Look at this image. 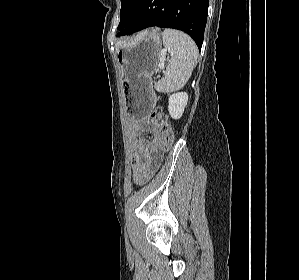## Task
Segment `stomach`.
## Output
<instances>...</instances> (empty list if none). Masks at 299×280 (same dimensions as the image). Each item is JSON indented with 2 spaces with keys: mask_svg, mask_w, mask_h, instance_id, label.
<instances>
[{
  "mask_svg": "<svg viewBox=\"0 0 299 280\" xmlns=\"http://www.w3.org/2000/svg\"><path fill=\"white\" fill-rule=\"evenodd\" d=\"M162 41L155 31H144L118 51L123 72L122 91L130 116L146 117L154 104L151 76L156 72Z\"/></svg>",
  "mask_w": 299,
  "mask_h": 280,
  "instance_id": "0dacf381",
  "label": "stomach"
}]
</instances>
